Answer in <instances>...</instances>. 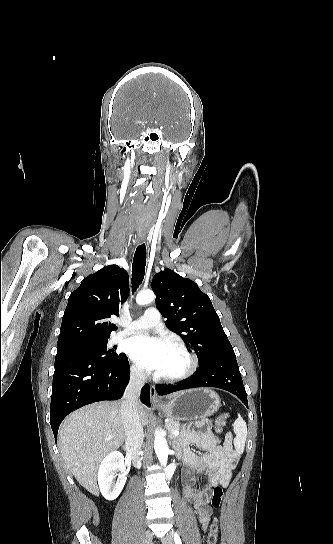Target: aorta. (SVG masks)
<instances>
[{"mask_svg":"<svg viewBox=\"0 0 333 544\" xmlns=\"http://www.w3.org/2000/svg\"><path fill=\"white\" fill-rule=\"evenodd\" d=\"M155 298L154 292L150 290L140 291L136 297L138 305H145L152 302ZM154 449L161 465L166 466L169 454L167 441L161 431H156L154 440Z\"/></svg>","mask_w":333,"mask_h":544,"instance_id":"obj_1","label":"aorta"}]
</instances>
